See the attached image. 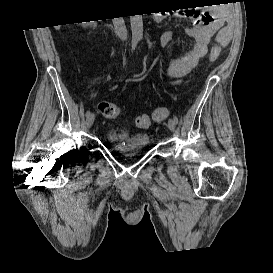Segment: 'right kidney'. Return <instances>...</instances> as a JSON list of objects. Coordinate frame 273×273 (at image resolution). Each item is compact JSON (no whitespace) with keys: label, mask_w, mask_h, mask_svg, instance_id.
<instances>
[{"label":"right kidney","mask_w":273,"mask_h":273,"mask_svg":"<svg viewBox=\"0 0 273 273\" xmlns=\"http://www.w3.org/2000/svg\"><path fill=\"white\" fill-rule=\"evenodd\" d=\"M82 24H83V26H86V25H87L86 22H83Z\"/></svg>","instance_id":"ca27d5eb"}]
</instances>
